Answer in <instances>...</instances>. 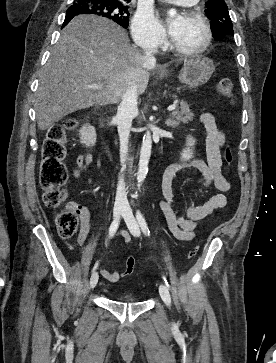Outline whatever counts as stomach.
<instances>
[{
  "instance_id": "0dacf381",
  "label": "stomach",
  "mask_w": 276,
  "mask_h": 363,
  "mask_svg": "<svg viewBox=\"0 0 276 363\" xmlns=\"http://www.w3.org/2000/svg\"><path fill=\"white\" fill-rule=\"evenodd\" d=\"M215 70L213 61L209 58L196 57L184 61L179 74V80L193 88L205 84ZM166 76V74H162Z\"/></svg>"
}]
</instances>
